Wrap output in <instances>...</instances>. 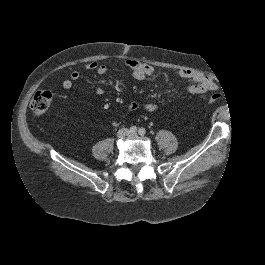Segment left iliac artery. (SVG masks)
Here are the masks:
<instances>
[{
	"label": "left iliac artery",
	"instance_id": "44dca946",
	"mask_svg": "<svg viewBox=\"0 0 265 265\" xmlns=\"http://www.w3.org/2000/svg\"><path fill=\"white\" fill-rule=\"evenodd\" d=\"M145 133H146V130H145L144 128H140V129H139V134H140V135L143 136V135H145Z\"/></svg>",
	"mask_w": 265,
	"mask_h": 265
}]
</instances>
